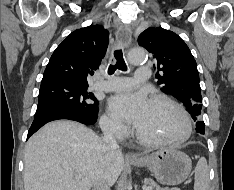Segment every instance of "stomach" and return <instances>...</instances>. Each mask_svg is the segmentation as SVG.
<instances>
[{"mask_svg":"<svg viewBox=\"0 0 234 190\" xmlns=\"http://www.w3.org/2000/svg\"><path fill=\"white\" fill-rule=\"evenodd\" d=\"M131 163L148 167L151 175L165 185L182 183L188 178L192 167L191 160L185 153L172 148L159 149Z\"/></svg>","mask_w":234,"mask_h":190,"instance_id":"stomach-1","label":"stomach"}]
</instances>
